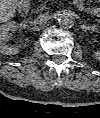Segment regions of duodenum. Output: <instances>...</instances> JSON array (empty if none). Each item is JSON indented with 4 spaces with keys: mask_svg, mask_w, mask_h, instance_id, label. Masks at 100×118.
Wrapping results in <instances>:
<instances>
[{
    "mask_svg": "<svg viewBox=\"0 0 100 118\" xmlns=\"http://www.w3.org/2000/svg\"><path fill=\"white\" fill-rule=\"evenodd\" d=\"M73 4H74V6H79V1L73 0ZM27 6H28L27 2H22L21 9L24 11L27 9Z\"/></svg>",
    "mask_w": 100,
    "mask_h": 118,
    "instance_id": "duodenum-1",
    "label": "duodenum"
}]
</instances>
